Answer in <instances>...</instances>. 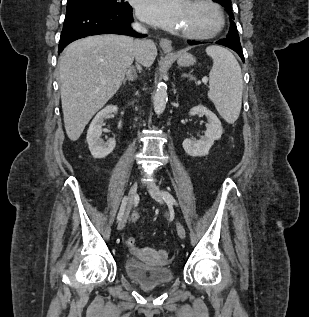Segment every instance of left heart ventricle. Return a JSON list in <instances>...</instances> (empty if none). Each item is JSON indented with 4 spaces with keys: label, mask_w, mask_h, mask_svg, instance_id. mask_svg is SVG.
Returning a JSON list of instances; mask_svg holds the SVG:
<instances>
[{
    "label": "left heart ventricle",
    "mask_w": 309,
    "mask_h": 317,
    "mask_svg": "<svg viewBox=\"0 0 309 317\" xmlns=\"http://www.w3.org/2000/svg\"><path fill=\"white\" fill-rule=\"evenodd\" d=\"M212 10L204 5L188 2L184 15L182 31H207L215 24Z\"/></svg>",
    "instance_id": "1"
}]
</instances>
